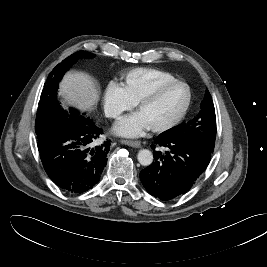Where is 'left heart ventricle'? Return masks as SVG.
Here are the masks:
<instances>
[{"mask_svg":"<svg viewBox=\"0 0 267 267\" xmlns=\"http://www.w3.org/2000/svg\"><path fill=\"white\" fill-rule=\"evenodd\" d=\"M186 99V88L182 85H173L166 88L153 101L144 104L139 113L150 127L156 126L176 117L183 109Z\"/></svg>","mask_w":267,"mask_h":267,"instance_id":"b2bd125f","label":"left heart ventricle"}]
</instances>
